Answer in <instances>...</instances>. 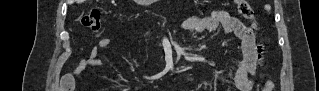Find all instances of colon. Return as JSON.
Listing matches in <instances>:
<instances>
[{
  "label": "colon",
  "instance_id": "1",
  "mask_svg": "<svg viewBox=\"0 0 319 91\" xmlns=\"http://www.w3.org/2000/svg\"><path fill=\"white\" fill-rule=\"evenodd\" d=\"M233 2L237 8L238 13L242 17L250 21L253 28H256L257 23L254 19L253 10L249 3L245 0H234ZM81 24L92 33H98L101 30L103 24V16L101 10L98 8L90 9L85 15L82 16ZM263 90H273V83L271 81H267Z\"/></svg>",
  "mask_w": 319,
  "mask_h": 91
}]
</instances>
